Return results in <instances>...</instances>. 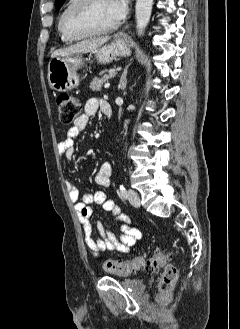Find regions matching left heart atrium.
<instances>
[{
    "label": "left heart atrium",
    "instance_id": "1",
    "mask_svg": "<svg viewBox=\"0 0 240 329\" xmlns=\"http://www.w3.org/2000/svg\"><path fill=\"white\" fill-rule=\"evenodd\" d=\"M110 11L118 22L127 14V0H108Z\"/></svg>",
    "mask_w": 240,
    "mask_h": 329
}]
</instances>
